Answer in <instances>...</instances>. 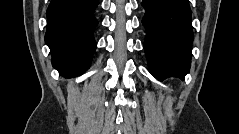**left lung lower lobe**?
Instances as JSON below:
<instances>
[{"mask_svg": "<svg viewBox=\"0 0 239 134\" xmlns=\"http://www.w3.org/2000/svg\"><path fill=\"white\" fill-rule=\"evenodd\" d=\"M144 49L150 73L158 80L184 79L191 63V10L188 0H143Z\"/></svg>", "mask_w": 239, "mask_h": 134, "instance_id": "obj_1", "label": "left lung lower lobe"}]
</instances>
